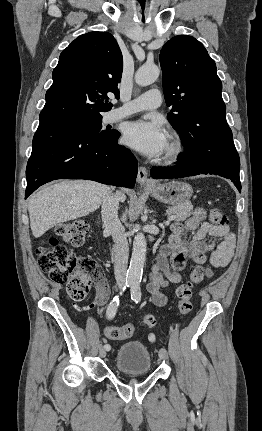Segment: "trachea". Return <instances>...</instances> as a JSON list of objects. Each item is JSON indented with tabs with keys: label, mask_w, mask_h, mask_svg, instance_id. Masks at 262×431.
I'll return each instance as SVG.
<instances>
[{
	"label": "trachea",
	"mask_w": 262,
	"mask_h": 431,
	"mask_svg": "<svg viewBox=\"0 0 262 431\" xmlns=\"http://www.w3.org/2000/svg\"><path fill=\"white\" fill-rule=\"evenodd\" d=\"M140 4H141V8L144 9L145 7V0H139Z\"/></svg>",
	"instance_id": "1"
}]
</instances>
